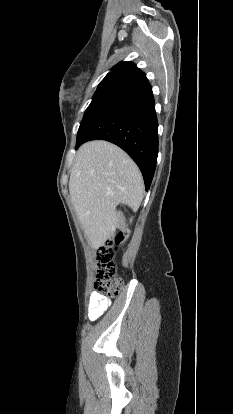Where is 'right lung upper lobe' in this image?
I'll return each mask as SVG.
<instances>
[{
  "label": "right lung upper lobe",
  "instance_id": "obj_1",
  "mask_svg": "<svg viewBox=\"0 0 233 414\" xmlns=\"http://www.w3.org/2000/svg\"><path fill=\"white\" fill-rule=\"evenodd\" d=\"M108 76H117L123 79L136 81L140 77L145 76V74L132 62H120L111 69L106 77Z\"/></svg>",
  "mask_w": 233,
  "mask_h": 414
}]
</instances>
